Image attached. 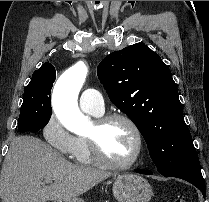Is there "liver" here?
<instances>
[{
  "label": "liver",
  "mask_w": 209,
  "mask_h": 202,
  "mask_svg": "<svg viewBox=\"0 0 209 202\" xmlns=\"http://www.w3.org/2000/svg\"><path fill=\"white\" fill-rule=\"evenodd\" d=\"M112 174L75 165L41 139L19 136L11 142L0 176L2 202H47L74 198ZM45 178L54 183L42 186Z\"/></svg>",
  "instance_id": "1"
}]
</instances>
